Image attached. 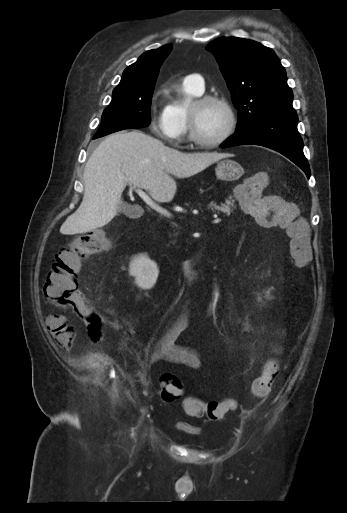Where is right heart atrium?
Segmentation results:
<instances>
[{
    "instance_id": "obj_1",
    "label": "right heart atrium",
    "mask_w": 347,
    "mask_h": 513,
    "mask_svg": "<svg viewBox=\"0 0 347 513\" xmlns=\"http://www.w3.org/2000/svg\"><path fill=\"white\" fill-rule=\"evenodd\" d=\"M151 129L157 136L173 145H176L181 139V131L176 127L164 108L153 114Z\"/></svg>"
}]
</instances>
